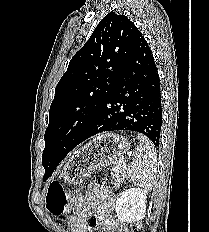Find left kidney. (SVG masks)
Masks as SVG:
<instances>
[{
  "label": "left kidney",
  "instance_id": "left-kidney-1",
  "mask_svg": "<svg viewBox=\"0 0 209 232\" xmlns=\"http://www.w3.org/2000/svg\"><path fill=\"white\" fill-rule=\"evenodd\" d=\"M147 191L129 188L119 194L115 211L121 222L136 223L145 217Z\"/></svg>",
  "mask_w": 209,
  "mask_h": 232
}]
</instances>
